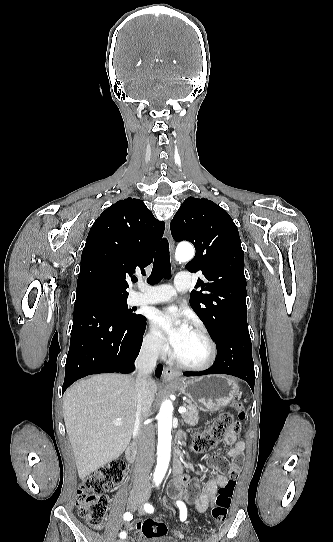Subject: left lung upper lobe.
<instances>
[{"mask_svg":"<svg viewBox=\"0 0 333 542\" xmlns=\"http://www.w3.org/2000/svg\"><path fill=\"white\" fill-rule=\"evenodd\" d=\"M175 241L187 240L195 257L186 265L202 271L190 295V305L212 333L215 342L230 327H247L244 252L237 226L229 214L205 198L188 197L170 224Z\"/></svg>","mask_w":333,"mask_h":542,"instance_id":"obj_1","label":"left lung upper lobe"}]
</instances>
